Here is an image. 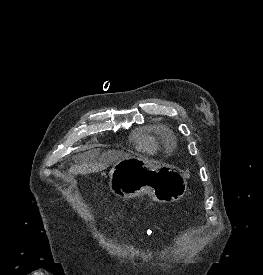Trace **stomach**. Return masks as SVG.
<instances>
[{"mask_svg": "<svg viewBox=\"0 0 263 275\" xmlns=\"http://www.w3.org/2000/svg\"><path fill=\"white\" fill-rule=\"evenodd\" d=\"M109 176L110 191L123 199L147 194L156 202L170 203L187 191L186 179L180 172L134 156L116 162Z\"/></svg>", "mask_w": 263, "mask_h": 275, "instance_id": "1", "label": "stomach"}]
</instances>
